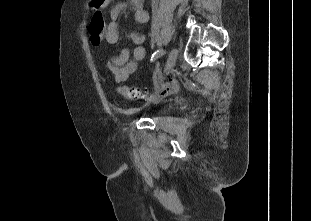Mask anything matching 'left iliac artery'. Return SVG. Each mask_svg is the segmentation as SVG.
<instances>
[{
	"mask_svg": "<svg viewBox=\"0 0 311 221\" xmlns=\"http://www.w3.org/2000/svg\"><path fill=\"white\" fill-rule=\"evenodd\" d=\"M165 52L163 50H158L154 52L151 56V62L155 61L160 55H163Z\"/></svg>",
	"mask_w": 311,
	"mask_h": 221,
	"instance_id": "left-iliac-artery-1",
	"label": "left iliac artery"
}]
</instances>
